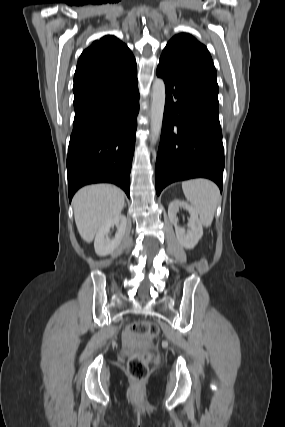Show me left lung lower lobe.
<instances>
[{"label": "left lung lower lobe", "mask_w": 285, "mask_h": 427, "mask_svg": "<svg viewBox=\"0 0 285 427\" xmlns=\"http://www.w3.org/2000/svg\"><path fill=\"white\" fill-rule=\"evenodd\" d=\"M166 102L155 166L156 193L175 181L209 178L222 192L224 152L218 93L159 61Z\"/></svg>", "instance_id": "obj_1"}]
</instances>
